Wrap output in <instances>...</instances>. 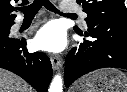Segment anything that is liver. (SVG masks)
Returning a JSON list of instances; mask_svg holds the SVG:
<instances>
[{
  "label": "liver",
  "mask_w": 127,
  "mask_h": 92,
  "mask_svg": "<svg viewBox=\"0 0 127 92\" xmlns=\"http://www.w3.org/2000/svg\"><path fill=\"white\" fill-rule=\"evenodd\" d=\"M0 92H32V88L22 78L0 68Z\"/></svg>",
  "instance_id": "obj_1"
}]
</instances>
